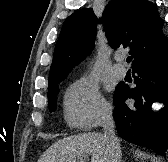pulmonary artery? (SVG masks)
Wrapping results in <instances>:
<instances>
[{
	"label": "pulmonary artery",
	"instance_id": "obj_1",
	"mask_svg": "<svg viewBox=\"0 0 168 162\" xmlns=\"http://www.w3.org/2000/svg\"><path fill=\"white\" fill-rule=\"evenodd\" d=\"M115 59L119 62L122 61V58L120 55H116ZM112 71L117 77L123 78L126 75L127 69L123 65H121L120 63H116L113 66Z\"/></svg>",
	"mask_w": 168,
	"mask_h": 162
}]
</instances>
